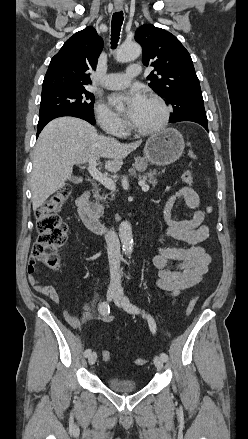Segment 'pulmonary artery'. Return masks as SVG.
<instances>
[{"label": "pulmonary artery", "mask_w": 248, "mask_h": 439, "mask_svg": "<svg viewBox=\"0 0 248 439\" xmlns=\"http://www.w3.org/2000/svg\"><path fill=\"white\" fill-rule=\"evenodd\" d=\"M140 74L138 64L130 65L126 73H110L104 76L102 85L107 89H120L126 87L130 80Z\"/></svg>", "instance_id": "e3ab8cb5"}]
</instances>
